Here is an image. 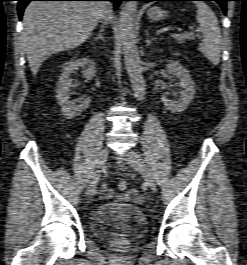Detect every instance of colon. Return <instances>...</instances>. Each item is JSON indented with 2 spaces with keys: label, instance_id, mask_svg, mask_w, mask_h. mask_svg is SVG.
Here are the masks:
<instances>
[{
  "label": "colon",
  "instance_id": "5ec220e1",
  "mask_svg": "<svg viewBox=\"0 0 247 265\" xmlns=\"http://www.w3.org/2000/svg\"><path fill=\"white\" fill-rule=\"evenodd\" d=\"M127 187H128V185H127V182H126L125 180H120V181L118 182V188H119L121 191L126 190Z\"/></svg>",
  "mask_w": 247,
  "mask_h": 265
}]
</instances>
